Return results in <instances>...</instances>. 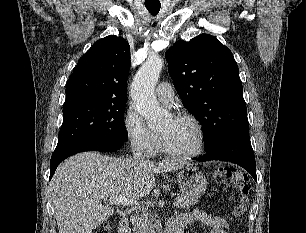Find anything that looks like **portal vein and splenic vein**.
Masks as SVG:
<instances>
[{
  "label": "portal vein and splenic vein",
  "mask_w": 306,
  "mask_h": 233,
  "mask_svg": "<svg viewBox=\"0 0 306 233\" xmlns=\"http://www.w3.org/2000/svg\"><path fill=\"white\" fill-rule=\"evenodd\" d=\"M109 201H110V203L116 204V205H124V206L139 205V202L137 200L128 199L122 194H120L119 196L110 198ZM173 206L178 207L179 206V201L176 200L173 203Z\"/></svg>",
  "instance_id": "obj_1"
}]
</instances>
